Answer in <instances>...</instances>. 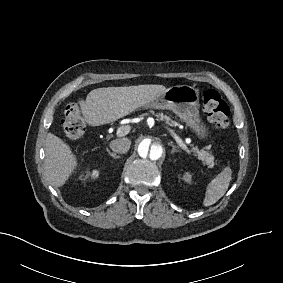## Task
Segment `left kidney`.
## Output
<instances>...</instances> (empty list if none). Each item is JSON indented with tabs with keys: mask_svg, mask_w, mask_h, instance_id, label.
I'll use <instances>...</instances> for the list:
<instances>
[{
	"mask_svg": "<svg viewBox=\"0 0 283 283\" xmlns=\"http://www.w3.org/2000/svg\"><path fill=\"white\" fill-rule=\"evenodd\" d=\"M186 183L190 184L192 181V175L189 172H185L182 178Z\"/></svg>",
	"mask_w": 283,
	"mask_h": 283,
	"instance_id": "obj_1",
	"label": "left kidney"
}]
</instances>
